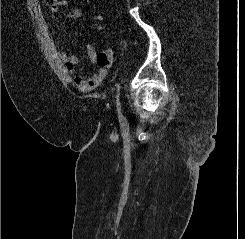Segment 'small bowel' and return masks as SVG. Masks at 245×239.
<instances>
[{"mask_svg": "<svg viewBox=\"0 0 245 239\" xmlns=\"http://www.w3.org/2000/svg\"><path fill=\"white\" fill-rule=\"evenodd\" d=\"M54 1L55 2L53 3H48L49 11L53 14L57 13L60 7L67 6L69 4L68 0ZM81 15L82 12L77 7L72 8L68 13V17L70 19H78ZM85 49L89 61L98 66L96 72L90 77L75 74V66L77 62L75 55L60 53L59 57L62 62L63 69L71 76L75 86L82 92H89L99 87L108 76V70L113 65V52L111 50H107L99 53L91 44H85Z\"/></svg>", "mask_w": 245, "mask_h": 239, "instance_id": "1", "label": "small bowel"}]
</instances>
